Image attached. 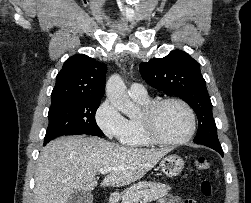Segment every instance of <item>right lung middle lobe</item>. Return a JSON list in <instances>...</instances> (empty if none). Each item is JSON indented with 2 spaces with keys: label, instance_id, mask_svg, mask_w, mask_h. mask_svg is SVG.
<instances>
[{
  "label": "right lung middle lobe",
  "instance_id": "right-lung-middle-lobe-1",
  "mask_svg": "<svg viewBox=\"0 0 251 203\" xmlns=\"http://www.w3.org/2000/svg\"><path fill=\"white\" fill-rule=\"evenodd\" d=\"M100 102V99L77 100L50 107L44 145L61 135L86 134L102 137L103 132L95 120Z\"/></svg>",
  "mask_w": 251,
  "mask_h": 203
}]
</instances>
